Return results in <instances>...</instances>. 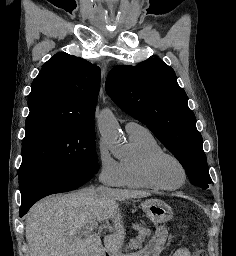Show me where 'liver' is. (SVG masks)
<instances>
[{
  "label": "liver",
  "instance_id": "obj_1",
  "mask_svg": "<svg viewBox=\"0 0 236 256\" xmlns=\"http://www.w3.org/2000/svg\"><path fill=\"white\" fill-rule=\"evenodd\" d=\"M146 196L150 194L138 190L97 192L85 188L44 198L32 206L25 220L30 256H104L105 252L117 256L126 236L119 202ZM92 220L114 226V234L104 238V248L98 234L79 238L81 228Z\"/></svg>",
  "mask_w": 236,
  "mask_h": 256
}]
</instances>
